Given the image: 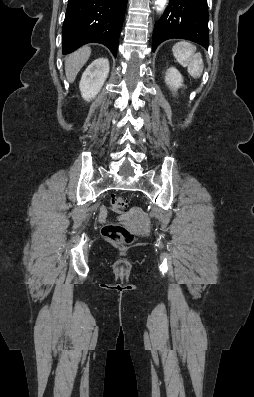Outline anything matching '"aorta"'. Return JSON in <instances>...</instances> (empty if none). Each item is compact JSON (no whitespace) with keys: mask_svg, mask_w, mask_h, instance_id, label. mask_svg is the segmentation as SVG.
<instances>
[{"mask_svg":"<svg viewBox=\"0 0 254 397\" xmlns=\"http://www.w3.org/2000/svg\"><path fill=\"white\" fill-rule=\"evenodd\" d=\"M167 0H156L155 4L158 6L157 10L162 11L166 5Z\"/></svg>","mask_w":254,"mask_h":397,"instance_id":"1","label":"aorta"}]
</instances>
